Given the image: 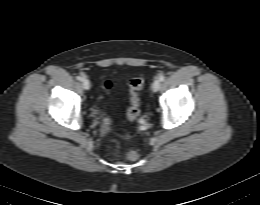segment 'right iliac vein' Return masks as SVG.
<instances>
[{
	"label": "right iliac vein",
	"instance_id": "1",
	"mask_svg": "<svg viewBox=\"0 0 260 205\" xmlns=\"http://www.w3.org/2000/svg\"><path fill=\"white\" fill-rule=\"evenodd\" d=\"M82 86L85 90H89L91 87L90 81L88 79H83Z\"/></svg>",
	"mask_w": 260,
	"mask_h": 205
}]
</instances>
